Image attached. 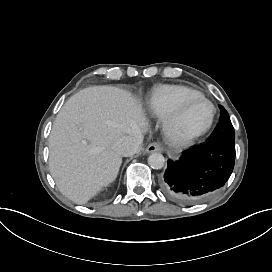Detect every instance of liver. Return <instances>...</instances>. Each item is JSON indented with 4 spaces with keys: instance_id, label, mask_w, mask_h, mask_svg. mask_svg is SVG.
Masks as SVG:
<instances>
[{
    "instance_id": "liver-1",
    "label": "liver",
    "mask_w": 272,
    "mask_h": 272,
    "mask_svg": "<svg viewBox=\"0 0 272 272\" xmlns=\"http://www.w3.org/2000/svg\"><path fill=\"white\" fill-rule=\"evenodd\" d=\"M141 103L112 86L85 88L63 105L49 136V168L60 192L85 204L112 183L122 163L114 144L146 132Z\"/></svg>"
}]
</instances>
